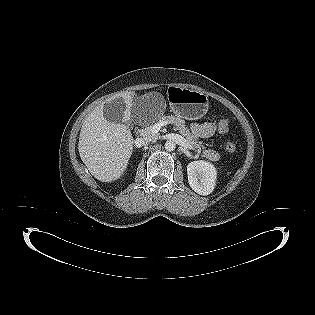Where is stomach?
Wrapping results in <instances>:
<instances>
[{"label": "stomach", "instance_id": "0dacf381", "mask_svg": "<svg viewBox=\"0 0 315 315\" xmlns=\"http://www.w3.org/2000/svg\"><path fill=\"white\" fill-rule=\"evenodd\" d=\"M167 99L171 111L186 120L202 118L209 107L208 98L203 92L183 87H169Z\"/></svg>", "mask_w": 315, "mask_h": 315}]
</instances>
